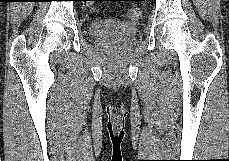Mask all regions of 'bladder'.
<instances>
[{
    "mask_svg": "<svg viewBox=\"0 0 229 161\" xmlns=\"http://www.w3.org/2000/svg\"><path fill=\"white\" fill-rule=\"evenodd\" d=\"M89 32L95 37L106 35L134 37L137 35L138 29L133 23L124 22L117 18H104L90 23Z\"/></svg>",
    "mask_w": 229,
    "mask_h": 161,
    "instance_id": "1",
    "label": "bladder"
}]
</instances>
